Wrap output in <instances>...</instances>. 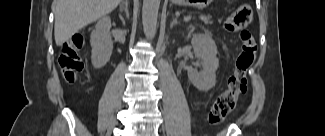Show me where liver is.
I'll use <instances>...</instances> for the list:
<instances>
[{"label":"liver","instance_id":"obj_1","mask_svg":"<svg viewBox=\"0 0 325 136\" xmlns=\"http://www.w3.org/2000/svg\"><path fill=\"white\" fill-rule=\"evenodd\" d=\"M122 0H54V36L58 46L76 32L112 12Z\"/></svg>","mask_w":325,"mask_h":136}]
</instances>
